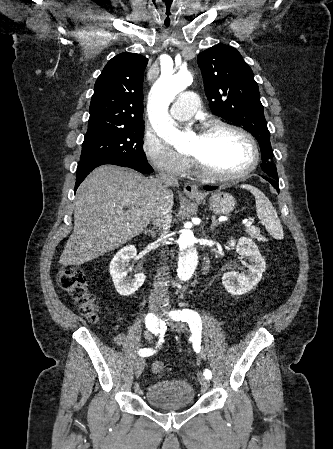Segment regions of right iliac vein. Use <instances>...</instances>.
<instances>
[{
    "label": "right iliac vein",
    "mask_w": 333,
    "mask_h": 449,
    "mask_svg": "<svg viewBox=\"0 0 333 449\" xmlns=\"http://www.w3.org/2000/svg\"><path fill=\"white\" fill-rule=\"evenodd\" d=\"M151 308L155 313H160L162 306L160 303L158 302H152L151 304ZM145 366V359L142 357H139L138 359H136L135 362V375L136 377H139L144 369Z\"/></svg>",
    "instance_id": "1"
}]
</instances>
